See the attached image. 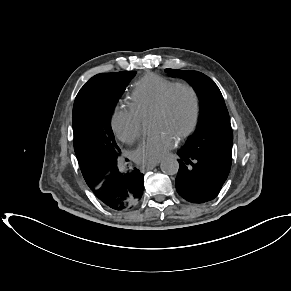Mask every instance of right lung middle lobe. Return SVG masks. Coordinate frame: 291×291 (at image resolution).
I'll use <instances>...</instances> for the list:
<instances>
[{"instance_id": "1", "label": "right lung middle lobe", "mask_w": 291, "mask_h": 291, "mask_svg": "<svg viewBox=\"0 0 291 291\" xmlns=\"http://www.w3.org/2000/svg\"><path fill=\"white\" fill-rule=\"evenodd\" d=\"M134 74V71L97 74L78 92L72 123L74 150L81 167L117 162L121 156L111 128V115Z\"/></svg>"}]
</instances>
